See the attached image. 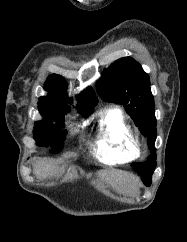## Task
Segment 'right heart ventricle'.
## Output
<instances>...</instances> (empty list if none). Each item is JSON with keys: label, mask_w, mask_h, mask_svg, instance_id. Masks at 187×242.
<instances>
[{"label": "right heart ventricle", "mask_w": 187, "mask_h": 242, "mask_svg": "<svg viewBox=\"0 0 187 242\" xmlns=\"http://www.w3.org/2000/svg\"><path fill=\"white\" fill-rule=\"evenodd\" d=\"M94 154L106 164L127 163L140 155L138 139L120 109L108 108L100 114Z\"/></svg>", "instance_id": "right-heart-ventricle-1"}]
</instances>
